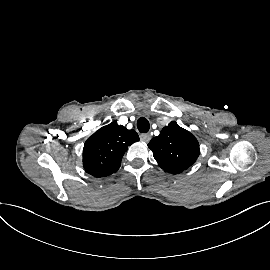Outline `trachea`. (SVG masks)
Returning a JSON list of instances; mask_svg holds the SVG:
<instances>
[{
    "label": "trachea",
    "instance_id": "obj_1",
    "mask_svg": "<svg viewBox=\"0 0 270 270\" xmlns=\"http://www.w3.org/2000/svg\"><path fill=\"white\" fill-rule=\"evenodd\" d=\"M137 128L141 133L148 132L150 128L149 121L144 117L139 118L137 121Z\"/></svg>",
    "mask_w": 270,
    "mask_h": 270
}]
</instances>
